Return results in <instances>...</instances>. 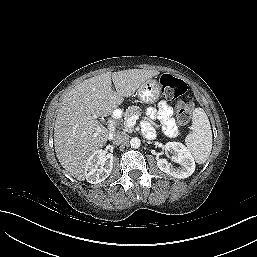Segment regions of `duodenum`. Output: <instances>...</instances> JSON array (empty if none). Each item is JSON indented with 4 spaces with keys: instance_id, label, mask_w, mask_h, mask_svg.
Here are the masks:
<instances>
[{
    "instance_id": "1",
    "label": "duodenum",
    "mask_w": 257,
    "mask_h": 257,
    "mask_svg": "<svg viewBox=\"0 0 257 257\" xmlns=\"http://www.w3.org/2000/svg\"><path fill=\"white\" fill-rule=\"evenodd\" d=\"M109 129H110V136H113L114 135V124H113V122H111L109 124Z\"/></svg>"
}]
</instances>
